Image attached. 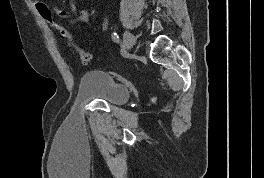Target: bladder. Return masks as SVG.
Wrapping results in <instances>:
<instances>
[{"label":"bladder","mask_w":264,"mask_h":178,"mask_svg":"<svg viewBox=\"0 0 264 178\" xmlns=\"http://www.w3.org/2000/svg\"><path fill=\"white\" fill-rule=\"evenodd\" d=\"M78 96L85 100H103L114 105H124L128 102L130 93L128 87L109 72L93 70L81 76Z\"/></svg>","instance_id":"bladder-1"}]
</instances>
